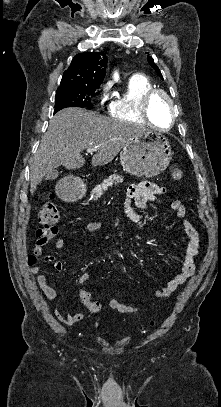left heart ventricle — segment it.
<instances>
[{"label": "left heart ventricle", "mask_w": 221, "mask_h": 407, "mask_svg": "<svg viewBox=\"0 0 221 407\" xmlns=\"http://www.w3.org/2000/svg\"><path fill=\"white\" fill-rule=\"evenodd\" d=\"M150 113L153 122L159 127L166 128L170 124L171 110L167 101L157 97L151 104Z\"/></svg>", "instance_id": "1"}]
</instances>
